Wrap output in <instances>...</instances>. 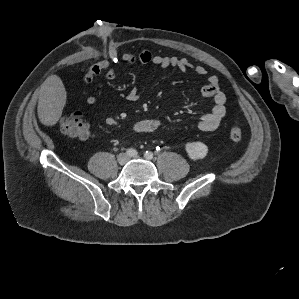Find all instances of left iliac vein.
<instances>
[{
	"label": "left iliac vein",
	"instance_id": "4c4485c4",
	"mask_svg": "<svg viewBox=\"0 0 299 299\" xmlns=\"http://www.w3.org/2000/svg\"><path fill=\"white\" fill-rule=\"evenodd\" d=\"M134 158H136V159H137V158H139V157H138V156H135Z\"/></svg>",
	"mask_w": 299,
	"mask_h": 299
}]
</instances>
